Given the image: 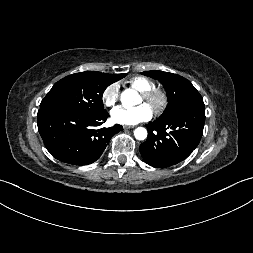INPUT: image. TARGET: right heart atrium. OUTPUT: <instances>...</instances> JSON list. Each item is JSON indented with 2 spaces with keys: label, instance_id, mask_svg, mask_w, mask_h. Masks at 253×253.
Instances as JSON below:
<instances>
[{
  "label": "right heart atrium",
  "instance_id": "d8ad5b80",
  "mask_svg": "<svg viewBox=\"0 0 253 253\" xmlns=\"http://www.w3.org/2000/svg\"><path fill=\"white\" fill-rule=\"evenodd\" d=\"M120 95V87L118 83H111L107 85L101 95L102 102L106 107H114Z\"/></svg>",
  "mask_w": 253,
  "mask_h": 253
}]
</instances>
